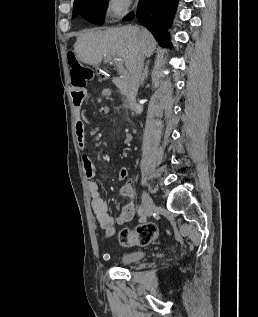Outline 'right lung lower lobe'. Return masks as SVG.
Here are the masks:
<instances>
[{"mask_svg": "<svg viewBox=\"0 0 258 317\" xmlns=\"http://www.w3.org/2000/svg\"><path fill=\"white\" fill-rule=\"evenodd\" d=\"M177 2L178 0H139L136 18L148 28L162 47H171L167 29L171 26ZM133 18L134 14L130 13L124 20Z\"/></svg>", "mask_w": 258, "mask_h": 317, "instance_id": "obj_1", "label": "right lung lower lobe"}]
</instances>
